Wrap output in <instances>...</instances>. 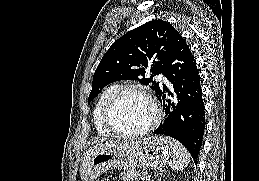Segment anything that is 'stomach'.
Masks as SVG:
<instances>
[{"mask_svg": "<svg viewBox=\"0 0 259 181\" xmlns=\"http://www.w3.org/2000/svg\"><path fill=\"white\" fill-rule=\"evenodd\" d=\"M171 160L168 142L161 136H152L123 146H94L84 154L80 174L83 181H93L108 170L163 169Z\"/></svg>", "mask_w": 259, "mask_h": 181, "instance_id": "stomach-1", "label": "stomach"}]
</instances>
